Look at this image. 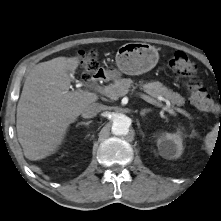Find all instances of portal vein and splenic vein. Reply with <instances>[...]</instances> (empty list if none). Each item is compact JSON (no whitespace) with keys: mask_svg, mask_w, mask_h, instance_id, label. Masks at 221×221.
Segmentation results:
<instances>
[{"mask_svg":"<svg viewBox=\"0 0 221 221\" xmlns=\"http://www.w3.org/2000/svg\"><path fill=\"white\" fill-rule=\"evenodd\" d=\"M128 91H129V90H124L121 95H122V96L126 95V94L128 93ZM99 92L102 93V94H104L105 96H108V97H110V95H112V94H111V89H110L109 86H106V87H104V88H100V89H99ZM112 96L114 97V95H112ZM139 96H140V98H142V99L145 100L146 102H148V103H150V104H152V105H154V106H157V107L162 108L163 111H167V112H169V113L172 114V115L175 114L174 109L171 108L170 105H163V104H161L159 101H157V100H155V99L151 98L150 96H148V95H146V94H143V93H139ZM160 97H161V96H160ZM158 98H159V97H158ZM159 100H162V99L160 98ZM166 102L168 103L169 101L166 100ZM176 110H177V112H179V113H181V114H183V115H185V116H189V114H188L186 111L182 110V109L177 108Z\"/></svg>","mask_w":221,"mask_h":221,"instance_id":"1","label":"portal vein and splenic vein"}]
</instances>
